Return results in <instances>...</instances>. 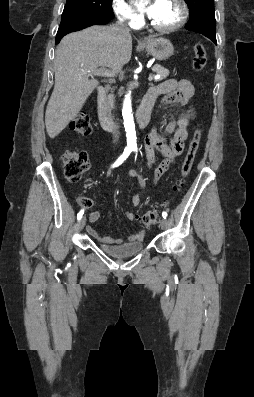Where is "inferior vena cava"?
Listing matches in <instances>:
<instances>
[{
    "instance_id": "1",
    "label": "inferior vena cava",
    "mask_w": 254,
    "mask_h": 397,
    "mask_svg": "<svg viewBox=\"0 0 254 397\" xmlns=\"http://www.w3.org/2000/svg\"><path fill=\"white\" fill-rule=\"evenodd\" d=\"M115 28L117 29V31H118L121 35H124V36H129V35H130V33H129L130 29H129L128 26H127L125 23H123L122 21H118V22L116 23V25H115ZM117 127H118V126H117ZM118 140H119V135L116 133V134H114L113 142L116 143V142H118Z\"/></svg>"
}]
</instances>
